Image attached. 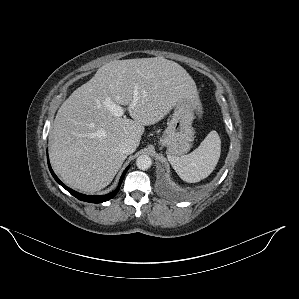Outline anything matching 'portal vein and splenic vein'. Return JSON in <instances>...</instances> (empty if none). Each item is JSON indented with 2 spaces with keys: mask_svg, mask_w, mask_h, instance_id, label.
Segmentation results:
<instances>
[{
  "mask_svg": "<svg viewBox=\"0 0 299 299\" xmlns=\"http://www.w3.org/2000/svg\"><path fill=\"white\" fill-rule=\"evenodd\" d=\"M137 95H138V92H137V90H135V92H134V100H133V106L136 104V101H137ZM105 104H106V106H107V108L109 109V110H111L116 116H118V117H121L123 114H124V112H125V109L123 108V107H121V106H119V105H116V104H114L112 101H110V100H107L106 102H105Z\"/></svg>",
  "mask_w": 299,
  "mask_h": 299,
  "instance_id": "portal-vein-and-splenic-vein-1",
  "label": "portal vein and splenic vein"
}]
</instances>
